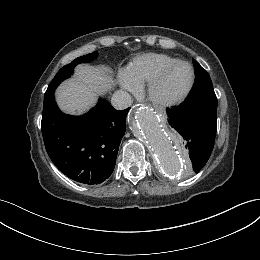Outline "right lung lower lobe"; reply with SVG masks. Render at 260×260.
Instances as JSON below:
<instances>
[{
	"label": "right lung lower lobe",
	"instance_id": "right-lung-lower-lobe-1",
	"mask_svg": "<svg viewBox=\"0 0 260 260\" xmlns=\"http://www.w3.org/2000/svg\"><path fill=\"white\" fill-rule=\"evenodd\" d=\"M54 91L44 95L41 122L50 159L74 181L88 185L102 183L115 167L130 108L119 111L100 99L84 115H67L57 107Z\"/></svg>",
	"mask_w": 260,
	"mask_h": 260
}]
</instances>
